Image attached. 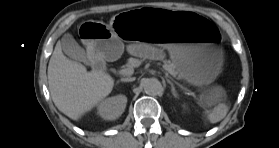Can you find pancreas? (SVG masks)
<instances>
[{
    "label": "pancreas",
    "instance_id": "cf45deb5",
    "mask_svg": "<svg viewBox=\"0 0 279 148\" xmlns=\"http://www.w3.org/2000/svg\"><path fill=\"white\" fill-rule=\"evenodd\" d=\"M141 62H142V60H139L136 58H130L128 63L126 64V68L133 69V67H137V65H136L137 63H139V65H140ZM162 67L164 70H166L172 76H176L178 73L176 65L173 62H171L170 60H164Z\"/></svg>",
    "mask_w": 279,
    "mask_h": 148
}]
</instances>
